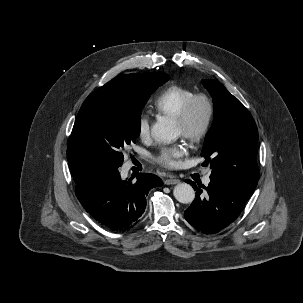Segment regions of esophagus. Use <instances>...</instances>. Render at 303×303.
<instances>
[{
  "instance_id": "esophagus-1",
  "label": "esophagus",
  "mask_w": 303,
  "mask_h": 303,
  "mask_svg": "<svg viewBox=\"0 0 303 303\" xmlns=\"http://www.w3.org/2000/svg\"><path fill=\"white\" fill-rule=\"evenodd\" d=\"M166 185H174L180 183V180L177 178H168L164 181Z\"/></svg>"
}]
</instances>
